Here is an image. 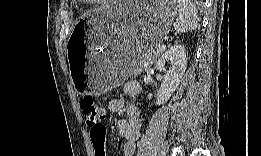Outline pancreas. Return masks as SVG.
Masks as SVG:
<instances>
[{
	"instance_id": "1",
	"label": "pancreas",
	"mask_w": 261,
	"mask_h": 156,
	"mask_svg": "<svg viewBox=\"0 0 261 156\" xmlns=\"http://www.w3.org/2000/svg\"><path fill=\"white\" fill-rule=\"evenodd\" d=\"M157 55H155V52H147L142 60L138 63V65L134 68L133 73L139 74L142 71L146 70L148 67H150L157 59Z\"/></svg>"
}]
</instances>
